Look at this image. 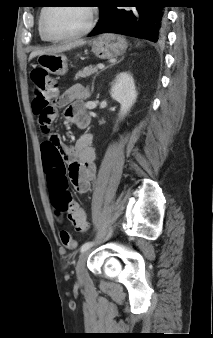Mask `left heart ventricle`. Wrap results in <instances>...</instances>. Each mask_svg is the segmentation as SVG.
I'll return each instance as SVG.
<instances>
[{
	"label": "left heart ventricle",
	"instance_id": "b2bd125f",
	"mask_svg": "<svg viewBox=\"0 0 213 338\" xmlns=\"http://www.w3.org/2000/svg\"><path fill=\"white\" fill-rule=\"evenodd\" d=\"M89 20L86 7H53L46 19V31L51 37H62L82 30Z\"/></svg>",
	"mask_w": 213,
	"mask_h": 338
}]
</instances>
